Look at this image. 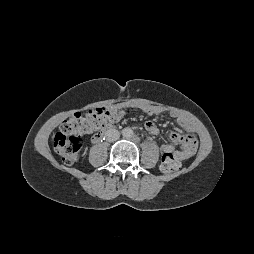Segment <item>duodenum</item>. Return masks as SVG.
I'll list each match as a JSON object with an SVG mask.
<instances>
[{"instance_id":"410a0bca","label":"duodenum","mask_w":254,"mask_h":254,"mask_svg":"<svg viewBox=\"0 0 254 254\" xmlns=\"http://www.w3.org/2000/svg\"><path fill=\"white\" fill-rule=\"evenodd\" d=\"M105 134H106V131H102V132L96 134V135L93 137L92 141H93L94 143L99 142V141L105 136Z\"/></svg>"}]
</instances>
